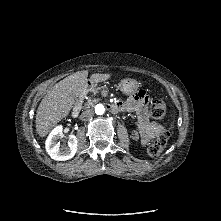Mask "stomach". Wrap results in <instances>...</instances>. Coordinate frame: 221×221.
I'll return each instance as SVG.
<instances>
[{"instance_id":"stomach-1","label":"stomach","mask_w":221,"mask_h":221,"mask_svg":"<svg viewBox=\"0 0 221 221\" xmlns=\"http://www.w3.org/2000/svg\"><path fill=\"white\" fill-rule=\"evenodd\" d=\"M139 88V83L135 79L127 78L121 82V90L126 95H133Z\"/></svg>"}]
</instances>
